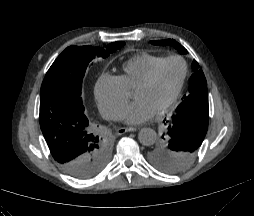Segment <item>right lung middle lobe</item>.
I'll return each mask as SVG.
<instances>
[{
    "instance_id": "dd1d6c3e",
    "label": "right lung middle lobe",
    "mask_w": 254,
    "mask_h": 216,
    "mask_svg": "<svg viewBox=\"0 0 254 216\" xmlns=\"http://www.w3.org/2000/svg\"><path fill=\"white\" fill-rule=\"evenodd\" d=\"M124 42H114L105 48L92 46H70L66 48L54 61L43 80L40 95L49 92H63L81 101V88L84 74L93 61L98 57H107L110 53L124 46ZM99 141V169L107 163L110 156V145L96 128L91 129ZM75 166L74 170H78ZM99 170V171H100Z\"/></svg>"
}]
</instances>
